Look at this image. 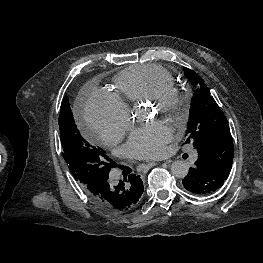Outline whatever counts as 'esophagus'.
<instances>
[{
    "instance_id": "obj_1",
    "label": "esophagus",
    "mask_w": 263,
    "mask_h": 263,
    "mask_svg": "<svg viewBox=\"0 0 263 263\" xmlns=\"http://www.w3.org/2000/svg\"><path fill=\"white\" fill-rule=\"evenodd\" d=\"M170 161H168L167 163H169ZM154 165H157V162H149L148 164H147V166L148 167H152V166H154Z\"/></svg>"
}]
</instances>
